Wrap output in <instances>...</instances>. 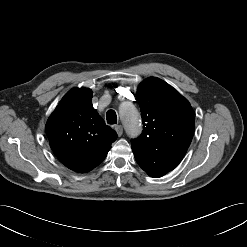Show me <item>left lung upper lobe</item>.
<instances>
[{
	"mask_svg": "<svg viewBox=\"0 0 247 247\" xmlns=\"http://www.w3.org/2000/svg\"><path fill=\"white\" fill-rule=\"evenodd\" d=\"M143 132L131 142L139 166L148 172L174 169L193 137L194 111L186 98L163 80L150 77L138 87Z\"/></svg>",
	"mask_w": 247,
	"mask_h": 247,
	"instance_id": "1",
	"label": "left lung upper lobe"
}]
</instances>
